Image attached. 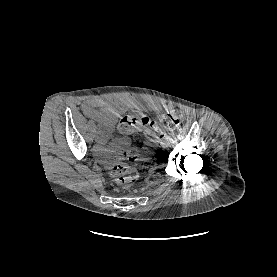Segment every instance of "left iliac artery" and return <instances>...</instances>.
<instances>
[{"label": "left iliac artery", "instance_id": "44dca946", "mask_svg": "<svg viewBox=\"0 0 277 277\" xmlns=\"http://www.w3.org/2000/svg\"><path fill=\"white\" fill-rule=\"evenodd\" d=\"M174 133H170L169 135H166L165 136V139L167 140V141H173V137H174Z\"/></svg>", "mask_w": 277, "mask_h": 277}]
</instances>
